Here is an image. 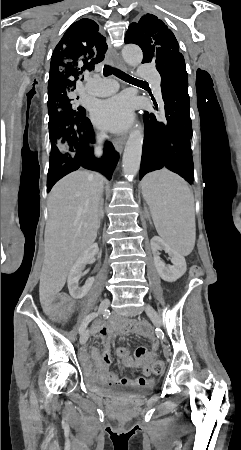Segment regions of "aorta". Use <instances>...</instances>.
<instances>
[{"label": "aorta", "instance_id": "obj_1", "mask_svg": "<svg viewBox=\"0 0 241 450\" xmlns=\"http://www.w3.org/2000/svg\"><path fill=\"white\" fill-rule=\"evenodd\" d=\"M122 55L130 66L139 65L143 59L142 50L136 45L124 46ZM143 139L141 126H137L129 135L122 158L123 173L127 179H133L140 169Z\"/></svg>", "mask_w": 241, "mask_h": 450}]
</instances>
